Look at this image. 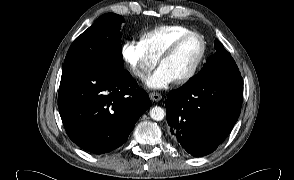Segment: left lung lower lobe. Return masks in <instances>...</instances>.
<instances>
[{
  "instance_id": "0a47b994",
  "label": "left lung lower lobe",
  "mask_w": 294,
  "mask_h": 180,
  "mask_svg": "<svg viewBox=\"0 0 294 180\" xmlns=\"http://www.w3.org/2000/svg\"><path fill=\"white\" fill-rule=\"evenodd\" d=\"M243 96L241 76H222L171 91L166 116L171 137L193 156L215 151L238 120Z\"/></svg>"
}]
</instances>
